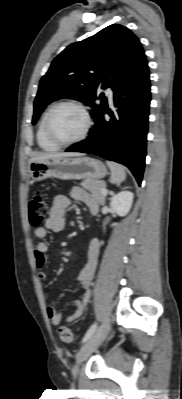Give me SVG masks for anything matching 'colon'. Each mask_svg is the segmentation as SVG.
Segmentation results:
<instances>
[{
	"label": "colon",
	"mask_w": 182,
	"mask_h": 399,
	"mask_svg": "<svg viewBox=\"0 0 182 399\" xmlns=\"http://www.w3.org/2000/svg\"><path fill=\"white\" fill-rule=\"evenodd\" d=\"M48 205L45 198L40 194H34L29 200V223L32 227H39L48 216ZM58 336L64 343L74 342V335L69 327L60 326Z\"/></svg>",
	"instance_id": "obj_1"
}]
</instances>
